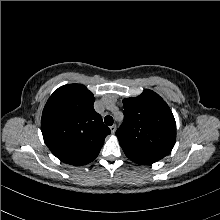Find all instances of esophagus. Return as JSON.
Listing matches in <instances>:
<instances>
[{"mask_svg": "<svg viewBox=\"0 0 220 220\" xmlns=\"http://www.w3.org/2000/svg\"><path fill=\"white\" fill-rule=\"evenodd\" d=\"M110 130H111V133L114 134L116 131V125L114 124V125L110 126Z\"/></svg>", "mask_w": 220, "mask_h": 220, "instance_id": "esophagus-1", "label": "esophagus"}]
</instances>
